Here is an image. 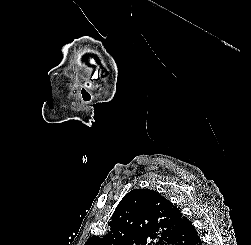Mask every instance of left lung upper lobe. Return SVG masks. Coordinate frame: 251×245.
Instances as JSON below:
<instances>
[{"instance_id": "5c2ea615", "label": "left lung upper lobe", "mask_w": 251, "mask_h": 245, "mask_svg": "<svg viewBox=\"0 0 251 245\" xmlns=\"http://www.w3.org/2000/svg\"><path fill=\"white\" fill-rule=\"evenodd\" d=\"M186 219L179 208L159 193L134 189L115 209L108 234L93 236L85 245H166Z\"/></svg>"}]
</instances>
